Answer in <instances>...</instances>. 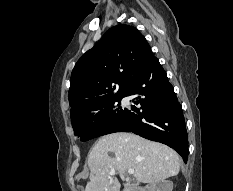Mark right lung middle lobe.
<instances>
[{"label": "right lung middle lobe", "mask_w": 233, "mask_h": 191, "mask_svg": "<svg viewBox=\"0 0 233 191\" xmlns=\"http://www.w3.org/2000/svg\"><path fill=\"white\" fill-rule=\"evenodd\" d=\"M123 97L113 99L71 117L74 134L82 141L102 136L127 111L120 106Z\"/></svg>", "instance_id": "obj_1"}]
</instances>
